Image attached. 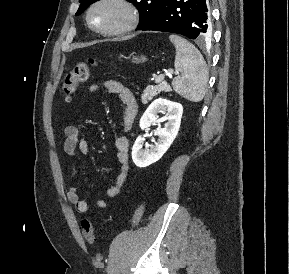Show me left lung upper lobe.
<instances>
[{
  "instance_id": "obj_1",
  "label": "left lung upper lobe",
  "mask_w": 289,
  "mask_h": 274,
  "mask_svg": "<svg viewBox=\"0 0 289 274\" xmlns=\"http://www.w3.org/2000/svg\"><path fill=\"white\" fill-rule=\"evenodd\" d=\"M97 0H79L80 7L76 16L80 15L91 3ZM132 2L138 9L140 14L139 27L148 23L160 10L165 0H128ZM138 27V28H139Z\"/></svg>"
}]
</instances>
